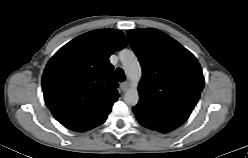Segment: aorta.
Returning <instances> with one entry per match:
<instances>
[{
  "mask_svg": "<svg viewBox=\"0 0 248 158\" xmlns=\"http://www.w3.org/2000/svg\"><path fill=\"white\" fill-rule=\"evenodd\" d=\"M120 58L123 64L124 72L127 78L132 82L131 87L124 95V101L130 106H135L139 101L138 82L142 76L141 65L131 50H123L120 53Z\"/></svg>",
  "mask_w": 248,
  "mask_h": 158,
  "instance_id": "obj_1",
  "label": "aorta"
}]
</instances>
